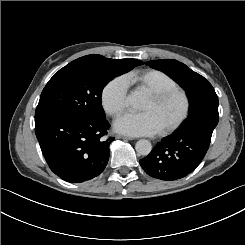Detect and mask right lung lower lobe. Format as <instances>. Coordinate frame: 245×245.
I'll return each mask as SVG.
<instances>
[{"label":"right lung lower lobe","mask_w":245,"mask_h":245,"mask_svg":"<svg viewBox=\"0 0 245 245\" xmlns=\"http://www.w3.org/2000/svg\"><path fill=\"white\" fill-rule=\"evenodd\" d=\"M104 119L50 114L35 118V133L50 169L70 183L91 180L102 173L114 138H104L109 129Z\"/></svg>","instance_id":"1"}]
</instances>
